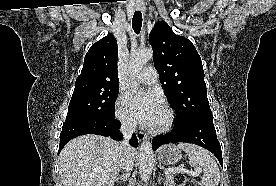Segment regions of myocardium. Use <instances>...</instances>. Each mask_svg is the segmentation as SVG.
<instances>
[{"label":"myocardium","instance_id":"1","mask_svg":"<svg viewBox=\"0 0 276 186\" xmlns=\"http://www.w3.org/2000/svg\"><path fill=\"white\" fill-rule=\"evenodd\" d=\"M162 109L165 112V121L158 126H151L150 127V131L152 133H164L169 131L173 125H174V121H175V115L173 110L167 106V105H163Z\"/></svg>","mask_w":276,"mask_h":186}]
</instances>
